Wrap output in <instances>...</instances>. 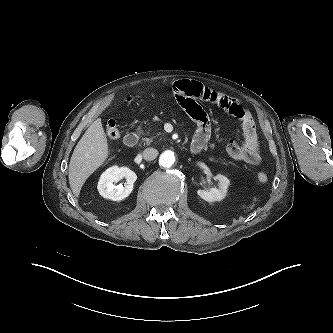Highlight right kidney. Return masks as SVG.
<instances>
[{
  "label": "right kidney",
  "mask_w": 333,
  "mask_h": 333,
  "mask_svg": "<svg viewBox=\"0 0 333 333\" xmlns=\"http://www.w3.org/2000/svg\"><path fill=\"white\" fill-rule=\"evenodd\" d=\"M123 178L126 179L124 186L122 184L114 186L113 183H117ZM136 179L137 175L129 168L112 166L101 175L97 189L102 197L113 201H121L129 196Z\"/></svg>",
  "instance_id": "1"
}]
</instances>
